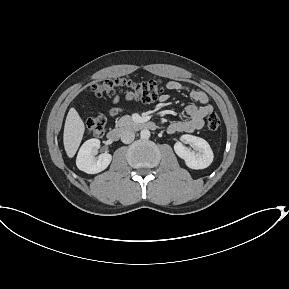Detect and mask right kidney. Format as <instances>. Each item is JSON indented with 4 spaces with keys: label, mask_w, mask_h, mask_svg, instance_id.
<instances>
[{
    "label": "right kidney",
    "mask_w": 289,
    "mask_h": 289,
    "mask_svg": "<svg viewBox=\"0 0 289 289\" xmlns=\"http://www.w3.org/2000/svg\"><path fill=\"white\" fill-rule=\"evenodd\" d=\"M99 148V139L93 138L84 142L76 159V165L79 170L88 174H96L108 167L112 160V156L108 153H104L95 157L94 155Z\"/></svg>",
    "instance_id": "obj_1"
}]
</instances>
